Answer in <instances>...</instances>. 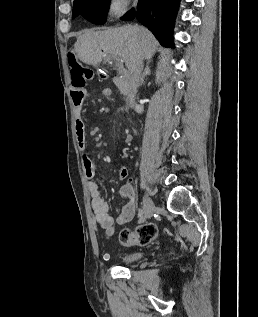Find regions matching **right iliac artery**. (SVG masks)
I'll return each mask as SVG.
<instances>
[{
	"mask_svg": "<svg viewBox=\"0 0 258 317\" xmlns=\"http://www.w3.org/2000/svg\"><path fill=\"white\" fill-rule=\"evenodd\" d=\"M143 215V210L141 208L138 209V217H141Z\"/></svg>",
	"mask_w": 258,
	"mask_h": 317,
	"instance_id": "1",
	"label": "right iliac artery"
}]
</instances>
